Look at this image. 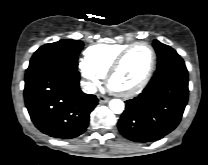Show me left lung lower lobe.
Returning a JSON list of instances; mask_svg holds the SVG:
<instances>
[{"mask_svg":"<svg viewBox=\"0 0 208 165\" xmlns=\"http://www.w3.org/2000/svg\"><path fill=\"white\" fill-rule=\"evenodd\" d=\"M188 71L182 58L158 66L143 92L126 101L120 133L134 142L158 140L179 124L188 101Z\"/></svg>","mask_w":208,"mask_h":165,"instance_id":"1","label":"left lung lower lobe"}]
</instances>
